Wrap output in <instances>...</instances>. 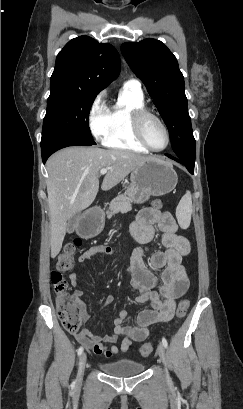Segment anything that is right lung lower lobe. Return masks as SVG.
Here are the masks:
<instances>
[{"mask_svg": "<svg viewBox=\"0 0 243 409\" xmlns=\"http://www.w3.org/2000/svg\"><path fill=\"white\" fill-rule=\"evenodd\" d=\"M96 144L94 141H88L70 135H55L48 140L41 142L42 160L46 162L48 157L55 151L68 146H90Z\"/></svg>", "mask_w": 243, "mask_h": 409, "instance_id": "obj_1", "label": "right lung lower lobe"}]
</instances>
